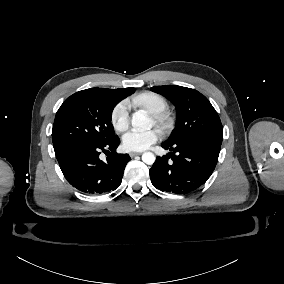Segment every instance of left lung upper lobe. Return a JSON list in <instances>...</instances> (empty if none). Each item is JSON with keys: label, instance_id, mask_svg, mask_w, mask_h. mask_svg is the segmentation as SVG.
Segmentation results:
<instances>
[{"label": "left lung upper lobe", "instance_id": "1", "mask_svg": "<svg viewBox=\"0 0 284 284\" xmlns=\"http://www.w3.org/2000/svg\"><path fill=\"white\" fill-rule=\"evenodd\" d=\"M153 92L171 100L176 106L177 123L167 142L207 140L221 145L223 128L209 100L197 90L175 86H154Z\"/></svg>", "mask_w": 284, "mask_h": 284}]
</instances>
